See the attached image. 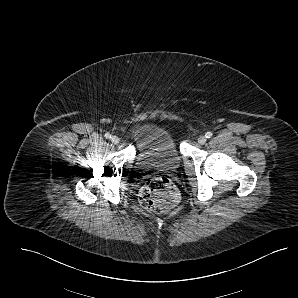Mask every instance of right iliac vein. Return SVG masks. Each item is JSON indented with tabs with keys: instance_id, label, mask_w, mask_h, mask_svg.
<instances>
[{
	"instance_id": "right-iliac-vein-1",
	"label": "right iliac vein",
	"mask_w": 298,
	"mask_h": 298,
	"mask_svg": "<svg viewBox=\"0 0 298 298\" xmlns=\"http://www.w3.org/2000/svg\"><path fill=\"white\" fill-rule=\"evenodd\" d=\"M111 141L114 143V144H118L119 143V138L117 136H112L111 137Z\"/></svg>"
}]
</instances>
